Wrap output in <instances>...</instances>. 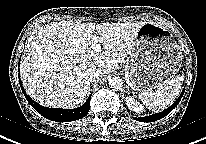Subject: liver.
Returning <instances> with one entry per match:
<instances>
[{
  "label": "liver",
  "mask_w": 206,
  "mask_h": 144,
  "mask_svg": "<svg viewBox=\"0 0 206 144\" xmlns=\"http://www.w3.org/2000/svg\"><path fill=\"white\" fill-rule=\"evenodd\" d=\"M145 22H52L28 38L20 63L27 94L47 107L76 108L90 90L87 72L112 73L130 54L134 38ZM99 36H94V30ZM102 44V52L92 46Z\"/></svg>",
  "instance_id": "liver-1"
}]
</instances>
